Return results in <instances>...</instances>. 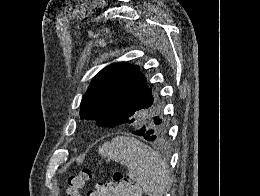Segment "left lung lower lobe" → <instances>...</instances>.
Returning <instances> with one entry per match:
<instances>
[{
    "mask_svg": "<svg viewBox=\"0 0 260 196\" xmlns=\"http://www.w3.org/2000/svg\"><path fill=\"white\" fill-rule=\"evenodd\" d=\"M134 114V108L132 107H120V106H111L105 111L98 119L97 124L100 126H118L121 125ZM133 134L143 136L144 139L148 141L153 140L152 129L149 125H142L135 128L132 131Z\"/></svg>",
    "mask_w": 260,
    "mask_h": 196,
    "instance_id": "left-lung-lower-lobe-1",
    "label": "left lung lower lobe"
}]
</instances>
